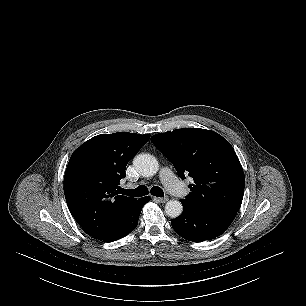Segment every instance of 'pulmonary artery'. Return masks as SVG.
Returning a JSON list of instances; mask_svg holds the SVG:
<instances>
[{"mask_svg": "<svg viewBox=\"0 0 306 306\" xmlns=\"http://www.w3.org/2000/svg\"><path fill=\"white\" fill-rule=\"evenodd\" d=\"M160 179L163 182V184L166 186V188L171 192L172 194L180 197L183 196L185 193V190L179 180L176 178L172 170L168 167H164L160 171Z\"/></svg>", "mask_w": 306, "mask_h": 306, "instance_id": "e3ab8cb5", "label": "pulmonary artery"}]
</instances>
